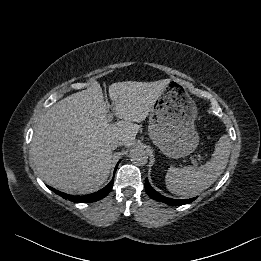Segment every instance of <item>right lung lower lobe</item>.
<instances>
[{"label":"right lung lower lobe","mask_w":261,"mask_h":261,"mask_svg":"<svg viewBox=\"0 0 261 261\" xmlns=\"http://www.w3.org/2000/svg\"><path fill=\"white\" fill-rule=\"evenodd\" d=\"M117 166L115 167L114 173L116 172ZM113 187V180L107 185L105 186L103 189L99 190L96 193H92V194H88V195H84V196H72V195H68L66 193L60 192L52 187H49V189H51L52 191H54L56 194L60 195L61 197L65 198V199H69L70 201L76 202V203H87V202H94L97 200H100L102 198H104L105 196H107V194L110 192V190Z\"/></svg>","instance_id":"right-lung-lower-lobe-1"}]
</instances>
